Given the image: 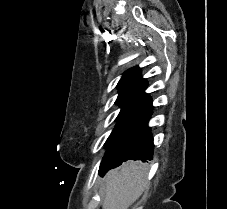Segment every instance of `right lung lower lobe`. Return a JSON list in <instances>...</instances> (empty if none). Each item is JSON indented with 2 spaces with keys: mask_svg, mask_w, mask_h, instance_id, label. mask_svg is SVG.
Wrapping results in <instances>:
<instances>
[{
  "mask_svg": "<svg viewBox=\"0 0 227 209\" xmlns=\"http://www.w3.org/2000/svg\"><path fill=\"white\" fill-rule=\"evenodd\" d=\"M153 148V138L150 133V128L146 127L137 137L124 145L113 155L112 164L108 170L121 165L127 160H151ZM99 173L101 175L105 174L100 170Z\"/></svg>",
  "mask_w": 227,
  "mask_h": 209,
  "instance_id": "1",
  "label": "right lung lower lobe"
}]
</instances>
